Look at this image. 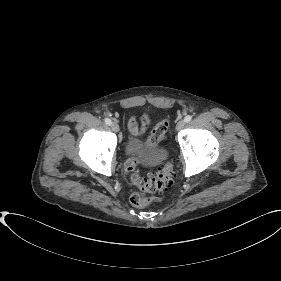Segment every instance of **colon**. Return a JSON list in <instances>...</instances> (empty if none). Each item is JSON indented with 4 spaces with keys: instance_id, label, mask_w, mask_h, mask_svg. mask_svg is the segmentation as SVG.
<instances>
[{
    "instance_id": "5ec220e1",
    "label": "colon",
    "mask_w": 281,
    "mask_h": 281,
    "mask_svg": "<svg viewBox=\"0 0 281 281\" xmlns=\"http://www.w3.org/2000/svg\"><path fill=\"white\" fill-rule=\"evenodd\" d=\"M168 127V120H163L158 123L149 135L147 144L151 147L159 144L165 138ZM140 162L141 161L136 158H128L125 161L124 170L131 184L138 188V190L131 193L130 202L135 207L143 208L153 201L152 197L146 196L143 193H162L173 184V167L168 163L149 177H143L139 174L137 169Z\"/></svg>"
}]
</instances>
